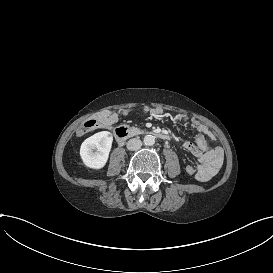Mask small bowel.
I'll list each match as a JSON object with an SVG mask.
<instances>
[{
	"mask_svg": "<svg viewBox=\"0 0 273 273\" xmlns=\"http://www.w3.org/2000/svg\"><path fill=\"white\" fill-rule=\"evenodd\" d=\"M117 120L118 115L116 113L110 111L102 112L94 118V123L91 126L83 125L80 133H88L96 129H110ZM192 126L198 133L196 141L185 142L183 143V147L199 160L200 164L196 174L197 179L207 181L221 167L224 156L223 150L220 147L211 148L209 146L208 139H214V135L206 125L194 121ZM186 172L192 175L195 169L192 166H187Z\"/></svg>",
	"mask_w": 273,
	"mask_h": 273,
	"instance_id": "small-bowel-1",
	"label": "small bowel"
}]
</instances>
